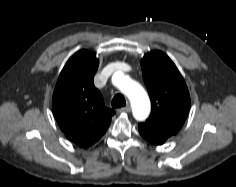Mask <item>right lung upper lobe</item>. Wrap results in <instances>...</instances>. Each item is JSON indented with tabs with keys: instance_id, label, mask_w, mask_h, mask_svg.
I'll list each match as a JSON object with an SVG mask.
<instances>
[{
	"instance_id": "right-lung-upper-lobe-1",
	"label": "right lung upper lobe",
	"mask_w": 236,
	"mask_h": 187,
	"mask_svg": "<svg viewBox=\"0 0 236 187\" xmlns=\"http://www.w3.org/2000/svg\"><path fill=\"white\" fill-rule=\"evenodd\" d=\"M98 64L90 52L78 51L61 71L53 93L52 109L61 130L81 148L97 142L115 114L93 84Z\"/></svg>"
}]
</instances>
